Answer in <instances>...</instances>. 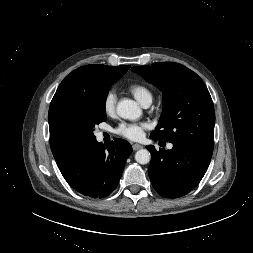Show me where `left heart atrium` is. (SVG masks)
Listing matches in <instances>:
<instances>
[{"label":"left heart atrium","mask_w":253,"mask_h":253,"mask_svg":"<svg viewBox=\"0 0 253 253\" xmlns=\"http://www.w3.org/2000/svg\"><path fill=\"white\" fill-rule=\"evenodd\" d=\"M147 128V124H126L119 125L116 129V133L129 140H139L142 138L144 130Z\"/></svg>","instance_id":"obj_1"}]
</instances>
